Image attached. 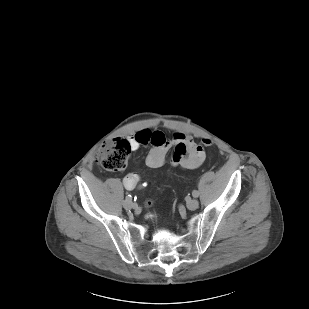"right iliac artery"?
Wrapping results in <instances>:
<instances>
[{
	"instance_id": "obj_1",
	"label": "right iliac artery",
	"mask_w": 309,
	"mask_h": 309,
	"mask_svg": "<svg viewBox=\"0 0 309 309\" xmlns=\"http://www.w3.org/2000/svg\"><path fill=\"white\" fill-rule=\"evenodd\" d=\"M126 198H127V200L130 201V200H132L133 197H132V195L129 194V195L126 196Z\"/></svg>"
}]
</instances>
